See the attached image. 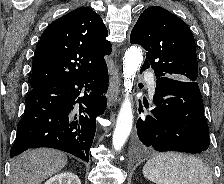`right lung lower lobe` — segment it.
Listing matches in <instances>:
<instances>
[{
  "label": "right lung lower lobe",
  "instance_id": "1",
  "mask_svg": "<svg viewBox=\"0 0 224 184\" xmlns=\"http://www.w3.org/2000/svg\"><path fill=\"white\" fill-rule=\"evenodd\" d=\"M107 66L82 77L34 87L27 95L25 115L17 125L10 157L29 148L50 147L86 162L96 131V117L106 108Z\"/></svg>",
  "mask_w": 224,
  "mask_h": 184
}]
</instances>
